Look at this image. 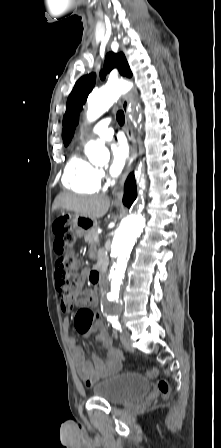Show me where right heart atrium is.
Masks as SVG:
<instances>
[{
  "instance_id": "1",
  "label": "right heart atrium",
  "mask_w": 221,
  "mask_h": 448,
  "mask_svg": "<svg viewBox=\"0 0 221 448\" xmlns=\"http://www.w3.org/2000/svg\"><path fill=\"white\" fill-rule=\"evenodd\" d=\"M98 176H99V180L104 179L105 178V173L103 170H98Z\"/></svg>"
}]
</instances>
